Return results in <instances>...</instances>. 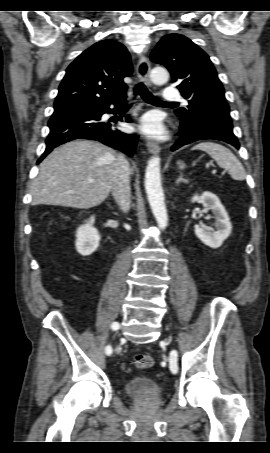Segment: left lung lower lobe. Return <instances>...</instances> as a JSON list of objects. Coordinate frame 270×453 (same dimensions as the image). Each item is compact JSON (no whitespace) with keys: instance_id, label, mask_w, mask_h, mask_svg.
Returning <instances> with one entry per match:
<instances>
[{"instance_id":"left-lung-lower-lobe-1","label":"left lung lower lobe","mask_w":270,"mask_h":453,"mask_svg":"<svg viewBox=\"0 0 270 453\" xmlns=\"http://www.w3.org/2000/svg\"><path fill=\"white\" fill-rule=\"evenodd\" d=\"M179 129V136L181 139L172 146V151L177 150L183 145L204 139L221 140L233 145L236 149H239L240 147V144L233 133L210 125L201 116H198L190 121H181Z\"/></svg>"}]
</instances>
